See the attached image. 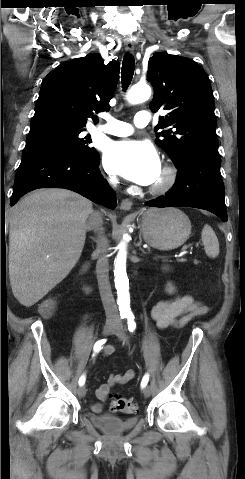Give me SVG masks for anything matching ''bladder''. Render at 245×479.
<instances>
[{
	"label": "bladder",
	"mask_w": 245,
	"mask_h": 479,
	"mask_svg": "<svg viewBox=\"0 0 245 479\" xmlns=\"http://www.w3.org/2000/svg\"><path fill=\"white\" fill-rule=\"evenodd\" d=\"M90 419L94 426L110 435H116L128 431L137 422L136 417L118 418L94 415L91 416Z\"/></svg>",
	"instance_id": "31cf9c89"
}]
</instances>
